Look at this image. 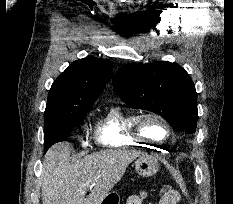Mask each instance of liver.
I'll list each match as a JSON object with an SVG mask.
<instances>
[{"instance_id": "obj_1", "label": "liver", "mask_w": 233, "mask_h": 204, "mask_svg": "<svg viewBox=\"0 0 233 204\" xmlns=\"http://www.w3.org/2000/svg\"><path fill=\"white\" fill-rule=\"evenodd\" d=\"M71 152V144L62 142L45 154L40 180L43 204H101L128 165L144 155L138 150L109 149L70 163ZM91 184L94 188L85 197Z\"/></svg>"}]
</instances>
